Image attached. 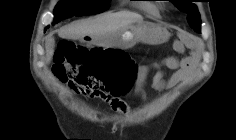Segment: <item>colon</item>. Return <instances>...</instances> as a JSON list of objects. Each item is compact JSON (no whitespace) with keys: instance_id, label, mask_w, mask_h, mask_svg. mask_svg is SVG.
Masks as SVG:
<instances>
[{"instance_id":"obj_1","label":"colon","mask_w":236,"mask_h":140,"mask_svg":"<svg viewBox=\"0 0 236 140\" xmlns=\"http://www.w3.org/2000/svg\"><path fill=\"white\" fill-rule=\"evenodd\" d=\"M137 70L134 60L122 50L86 47L69 40L59 43L53 66L60 81L108 103L121 99L132 87Z\"/></svg>"}]
</instances>
